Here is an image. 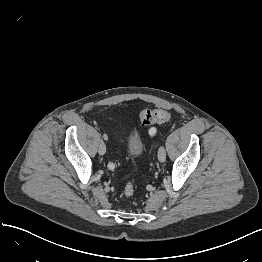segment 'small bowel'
I'll use <instances>...</instances> for the list:
<instances>
[{
  "label": "small bowel",
  "instance_id": "obj_1",
  "mask_svg": "<svg viewBox=\"0 0 262 262\" xmlns=\"http://www.w3.org/2000/svg\"><path fill=\"white\" fill-rule=\"evenodd\" d=\"M150 134H151V135H154V134H155V131H154V130H151V131H150ZM109 169H110V168H109Z\"/></svg>",
  "mask_w": 262,
  "mask_h": 262
}]
</instances>
